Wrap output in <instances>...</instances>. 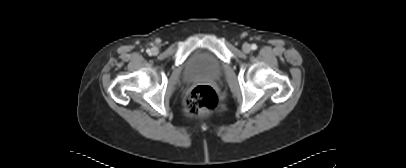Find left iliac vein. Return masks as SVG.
Wrapping results in <instances>:
<instances>
[{
	"instance_id": "4c4485c4",
	"label": "left iliac vein",
	"mask_w": 406,
	"mask_h": 168,
	"mask_svg": "<svg viewBox=\"0 0 406 168\" xmlns=\"http://www.w3.org/2000/svg\"><path fill=\"white\" fill-rule=\"evenodd\" d=\"M242 50L244 53H249L251 51V46L248 43H244L242 46Z\"/></svg>"
}]
</instances>
